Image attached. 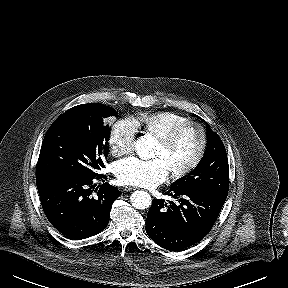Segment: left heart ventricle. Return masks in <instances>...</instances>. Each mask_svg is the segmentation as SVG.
I'll list each match as a JSON object with an SVG mask.
<instances>
[{
    "mask_svg": "<svg viewBox=\"0 0 288 288\" xmlns=\"http://www.w3.org/2000/svg\"><path fill=\"white\" fill-rule=\"evenodd\" d=\"M198 146L199 134L190 128L168 147L158 142L154 155L163 158L171 171L186 165L195 156Z\"/></svg>",
    "mask_w": 288,
    "mask_h": 288,
    "instance_id": "left-heart-ventricle-1",
    "label": "left heart ventricle"
}]
</instances>
